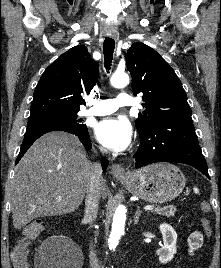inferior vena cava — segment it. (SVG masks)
Here are the masks:
<instances>
[{
    "label": "inferior vena cava",
    "mask_w": 221,
    "mask_h": 268,
    "mask_svg": "<svg viewBox=\"0 0 221 268\" xmlns=\"http://www.w3.org/2000/svg\"><path fill=\"white\" fill-rule=\"evenodd\" d=\"M101 152L104 154L105 150L101 149ZM102 178V167L99 162L94 163L92 166V175L90 180V185L86 192L85 199V217L89 223L97 217L98 213V204L101 197V182ZM90 267L99 268L98 260L93 249L89 253Z\"/></svg>",
    "instance_id": "602c4592"
}]
</instances>
